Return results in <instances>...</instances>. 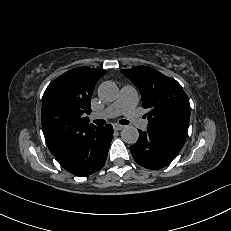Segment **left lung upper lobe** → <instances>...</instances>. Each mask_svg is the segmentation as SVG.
Here are the masks:
<instances>
[{
	"label": "left lung upper lobe",
	"instance_id": "left-lung-upper-lobe-1",
	"mask_svg": "<svg viewBox=\"0 0 231 231\" xmlns=\"http://www.w3.org/2000/svg\"><path fill=\"white\" fill-rule=\"evenodd\" d=\"M142 95L143 107L149 109L148 126L187 136L190 103L181 85L148 66L124 69Z\"/></svg>",
	"mask_w": 231,
	"mask_h": 231
}]
</instances>
